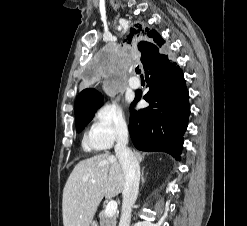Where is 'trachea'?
I'll return each mask as SVG.
<instances>
[{
    "label": "trachea",
    "mask_w": 247,
    "mask_h": 226,
    "mask_svg": "<svg viewBox=\"0 0 247 226\" xmlns=\"http://www.w3.org/2000/svg\"><path fill=\"white\" fill-rule=\"evenodd\" d=\"M136 73L137 74H140L141 73V70L139 68H136Z\"/></svg>",
    "instance_id": "obj_1"
}]
</instances>
